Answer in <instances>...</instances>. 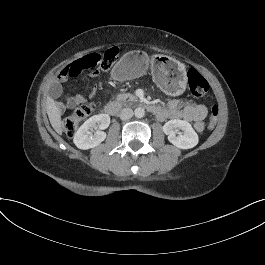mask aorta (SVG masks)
Returning <instances> with one entry per match:
<instances>
[{"mask_svg": "<svg viewBox=\"0 0 265 265\" xmlns=\"http://www.w3.org/2000/svg\"><path fill=\"white\" fill-rule=\"evenodd\" d=\"M134 115L137 118H142L145 116V109L142 107H137L134 111Z\"/></svg>", "mask_w": 265, "mask_h": 265, "instance_id": "aorta-1", "label": "aorta"}]
</instances>
